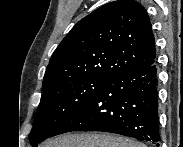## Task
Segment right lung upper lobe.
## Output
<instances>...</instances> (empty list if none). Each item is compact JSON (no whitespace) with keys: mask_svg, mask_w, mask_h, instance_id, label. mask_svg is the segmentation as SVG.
<instances>
[{"mask_svg":"<svg viewBox=\"0 0 183 147\" xmlns=\"http://www.w3.org/2000/svg\"><path fill=\"white\" fill-rule=\"evenodd\" d=\"M156 60L151 22L133 0L103 5L81 19L54 51L42 88L83 78L110 80Z\"/></svg>","mask_w":183,"mask_h":147,"instance_id":"cb5924a9","label":"right lung upper lobe"}]
</instances>
